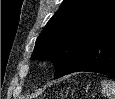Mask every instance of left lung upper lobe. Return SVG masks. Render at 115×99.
Here are the masks:
<instances>
[{
  "label": "left lung upper lobe",
  "instance_id": "obj_1",
  "mask_svg": "<svg viewBox=\"0 0 115 99\" xmlns=\"http://www.w3.org/2000/svg\"><path fill=\"white\" fill-rule=\"evenodd\" d=\"M115 26V0H64L35 43L32 59L50 58L55 78Z\"/></svg>",
  "mask_w": 115,
  "mask_h": 99
}]
</instances>
